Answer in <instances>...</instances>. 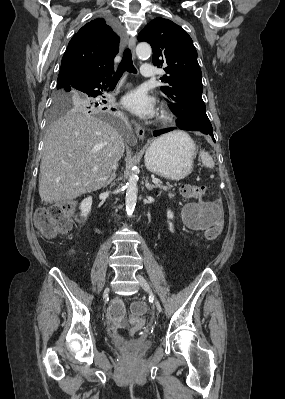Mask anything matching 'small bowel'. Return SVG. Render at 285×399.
<instances>
[{
	"label": "small bowel",
	"instance_id": "c3829d8e",
	"mask_svg": "<svg viewBox=\"0 0 285 399\" xmlns=\"http://www.w3.org/2000/svg\"><path fill=\"white\" fill-rule=\"evenodd\" d=\"M216 203L215 201H207L202 206H190L183 213V218L189 230L202 232L211 228L218 220L217 213L212 209L213 206H216ZM124 313V303L120 299H115L108 308V320L114 327L121 328ZM133 321L137 322L135 318H133Z\"/></svg>",
	"mask_w": 285,
	"mask_h": 399
}]
</instances>
